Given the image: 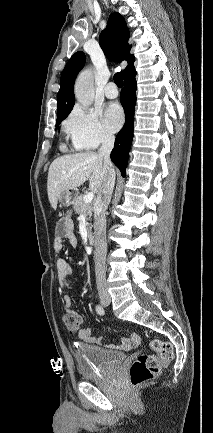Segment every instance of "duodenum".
<instances>
[{
  "label": "duodenum",
  "mask_w": 213,
  "mask_h": 433,
  "mask_svg": "<svg viewBox=\"0 0 213 433\" xmlns=\"http://www.w3.org/2000/svg\"><path fill=\"white\" fill-rule=\"evenodd\" d=\"M88 241H89V243L91 244V245H95L96 244V237H95V235L94 234H89L88 235Z\"/></svg>",
  "instance_id": "1"
}]
</instances>
